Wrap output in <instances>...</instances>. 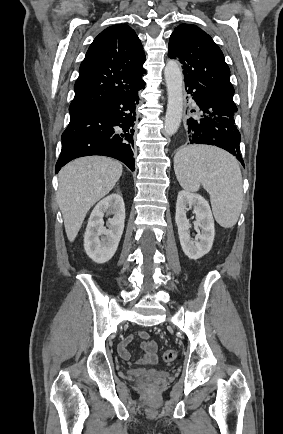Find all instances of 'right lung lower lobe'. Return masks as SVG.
<instances>
[{"label": "right lung lower lobe", "mask_w": 283, "mask_h": 434, "mask_svg": "<svg viewBox=\"0 0 283 434\" xmlns=\"http://www.w3.org/2000/svg\"><path fill=\"white\" fill-rule=\"evenodd\" d=\"M137 88L97 105L70 114V123L62 134V150L56 163L57 173L69 161L89 155L113 157L135 170L133 158Z\"/></svg>", "instance_id": "right-lung-lower-lobe-1"}]
</instances>
